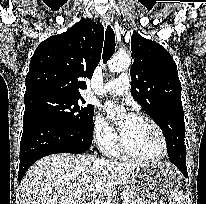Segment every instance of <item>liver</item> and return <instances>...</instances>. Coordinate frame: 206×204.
I'll use <instances>...</instances> for the list:
<instances>
[{
	"instance_id": "liver-1",
	"label": "liver",
	"mask_w": 206,
	"mask_h": 204,
	"mask_svg": "<svg viewBox=\"0 0 206 204\" xmlns=\"http://www.w3.org/2000/svg\"><path fill=\"white\" fill-rule=\"evenodd\" d=\"M139 166L105 161L93 155L46 156L34 163L22 179L23 204H91L85 203L86 197L110 194Z\"/></svg>"
}]
</instances>
